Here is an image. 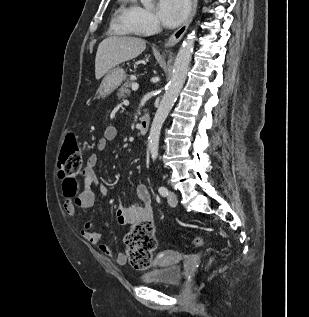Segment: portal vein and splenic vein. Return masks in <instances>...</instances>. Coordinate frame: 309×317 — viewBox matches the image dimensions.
<instances>
[{
    "label": "portal vein and splenic vein",
    "mask_w": 309,
    "mask_h": 317,
    "mask_svg": "<svg viewBox=\"0 0 309 317\" xmlns=\"http://www.w3.org/2000/svg\"><path fill=\"white\" fill-rule=\"evenodd\" d=\"M131 88H132L133 91L138 90V88H139L138 83H133L132 86H131Z\"/></svg>",
    "instance_id": "1"
}]
</instances>
